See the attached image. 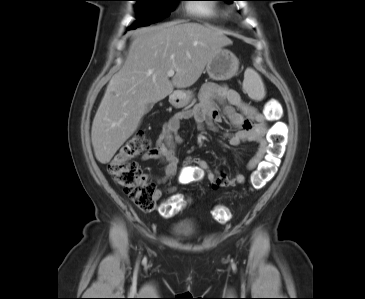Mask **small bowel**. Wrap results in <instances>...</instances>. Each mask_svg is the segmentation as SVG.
I'll use <instances>...</instances> for the list:
<instances>
[{
    "mask_svg": "<svg viewBox=\"0 0 365 299\" xmlns=\"http://www.w3.org/2000/svg\"><path fill=\"white\" fill-rule=\"evenodd\" d=\"M221 110L236 128L234 132L226 135L231 146H239L244 142L257 144V150L247 164L248 170H254L262 162L267 151L268 119L245 102L238 92L214 83H208L202 88L199 103L195 107L174 114L163 124L155 147L149 149L142 156V160L162 162L165 172L163 180L172 178L179 165L175 149L182 142L179 134L182 121L191 120L199 128L204 124L213 127L214 122L221 119ZM199 179L207 180L213 188H221L243 184L246 177L240 172L232 177L222 172L215 173L203 159L186 157L179 182L186 184ZM174 191L175 188L169 189V192ZM162 193V190L158 189L157 198L161 197Z\"/></svg>",
    "mask_w": 365,
    "mask_h": 299,
    "instance_id": "1",
    "label": "small bowel"
}]
</instances>
